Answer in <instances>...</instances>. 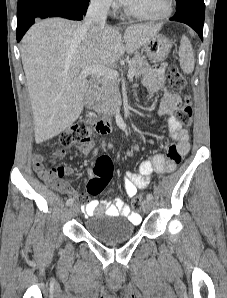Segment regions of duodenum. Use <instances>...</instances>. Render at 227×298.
I'll list each match as a JSON object with an SVG mask.
<instances>
[{"label":"duodenum","instance_id":"1","mask_svg":"<svg viewBox=\"0 0 227 298\" xmlns=\"http://www.w3.org/2000/svg\"><path fill=\"white\" fill-rule=\"evenodd\" d=\"M97 92L91 89L85 97V105L88 109H93L96 105ZM94 129L100 134H107L112 129L111 119H90Z\"/></svg>","mask_w":227,"mask_h":298}]
</instances>
